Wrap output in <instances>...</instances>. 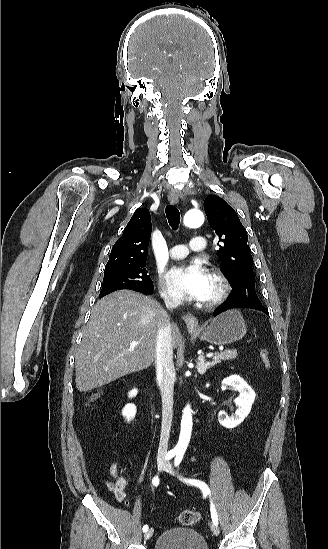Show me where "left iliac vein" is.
Instances as JSON below:
<instances>
[{"label": "left iliac vein", "instance_id": "4c4485c4", "mask_svg": "<svg viewBox=\"0 0 328 549\" xmlns=\"http://www.w3.org/2000/svg\"><path fill=\"white\" fill-rule=\"evenodd\" d=\"M163 469H164L166 472H169V473H171V474H173V475L176 474V472H175L174 469L172 468L170 462L165 463L164 466H163ZM211 530H212V532H213V534H214L215 536H218V535H219V529H218V527H217L216 524H214V523L212 524Z\"/></svg>", "mask_w": 328, "mask_h": 549}]
</instances>
